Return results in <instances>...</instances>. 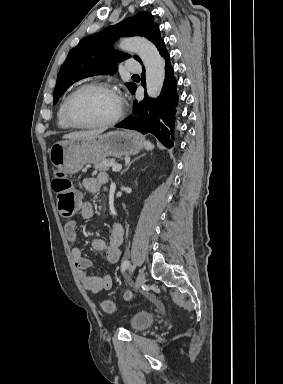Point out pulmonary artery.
Listing matches in <instances>:
<instances>
[{
    "instance_id": "pulmonary-artery-1",
    "label": "pulmonary artery",
    "mask_w": 283,
    "mask_h": 384,
    "mask_svg": "<svg viewBox=\"0 0 283 384\" xmlns=\"http://www.w3.org/2000/svg\"><path fill=\"white\" fill-rule=\"evenodd\" d=\"M140 68L138 61H127L125 66L126 71H134L136 74L140 71Z\"/></svg>"
}]
</instances>
